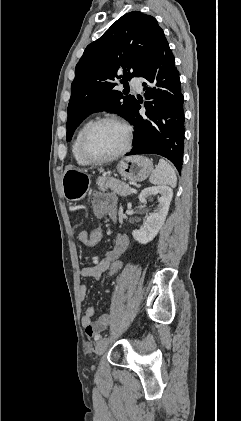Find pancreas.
<instances>
[{"mask_svg":"<svg viewBox=\"0 0 241 421\" xmlns=\"http://www.w3.org/2000/svg\"><path fill=\"white\" fill-rule=\"evenodd\" d=\"M97 185L100 191L104 192L110 189L122 197L132 194L131 187L128 184L115 178L101 177L97 180Z\"/></svg>","mask_w":241,"mask_h":421,"instance_id":"cf45deb5","label":"pancreas"}]
</instances>
